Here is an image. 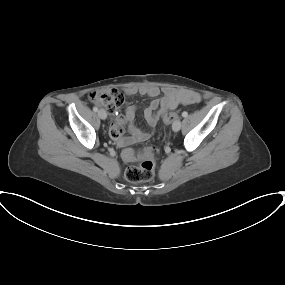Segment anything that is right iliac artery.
Here are the masks:
<instances>
[{"instance_id":"obj_1","label":"right iliac artery","mask_w":285,"mask_h":285,"mask_svg":"<svg viewBox=\"0 0 285 285\" xmlns=\"http://www.w3.org/2000/svg\"><path fill=\"white\" fill-rule=\"evenodd\" d=\"M93 111H94V112H97V111H98V108H97V107H93Z\"/></svg>"}]
</instances>
